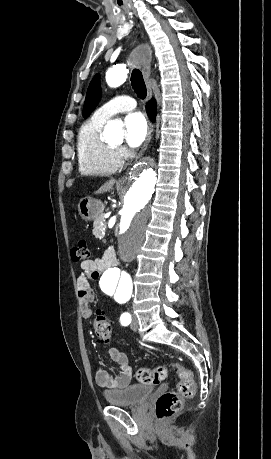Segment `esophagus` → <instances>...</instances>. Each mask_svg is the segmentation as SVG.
<instances>
[{
    "instance_id": "1",
    "label": "esophagus",
    "mask_w": 271,
    "mask_h": 459,
    "mask_svg": "<svg viewBox=\"0 0 271 459\" xmlns=\"http://www.w3.org/2000/svg\"><path fill=\"white\" fill-rule=\"evenodd\" d=\"M135 38L138 41H141L144 38L143 31L141 29H138L136 31ZM132 65L137 67L138 69H142L143 77H144V80H145L146 86H147V98H146V101L148 102L152 97V89H151V85H150V82H149L150 69L152 68V61L151 60H138L137 62L133 61ZM147 119H148V117H147ZM152 132H153V125H152L151 121L148 119L147 135H146L144 144H143L140 152L138 153V155L136 157V160L140 159L144 155V153H145V151H146V149H147V147L149 145V142H150V139H151V136H152ZM126 179H127V176L123 175V177H121V179H119L117 183L118 184H123L126 181Z\"/></svg>"
}]
</instances>
